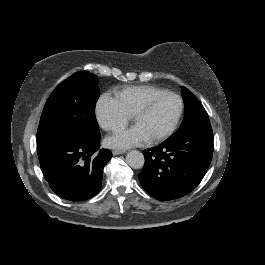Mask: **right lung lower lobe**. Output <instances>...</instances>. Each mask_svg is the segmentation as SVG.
<instances>
[{
	"label": "right lung lower lobe",
	"instance_id": "1",
	"mask_svg": "<svg viewBox=\"0 0 265 265\" xmlns=\"http://www.w3.org/2000/svg\"><path fill=\"white\" fill-rule=\"evenodd\" d=\"M99 148L100 138L77 135L49 137L37 144L40 167L53 192L69 201L96 195L112 157L110 150Z\"/></svg>",
	"mask_w": 265,
	"mask_h": 265
}]
</instances>
